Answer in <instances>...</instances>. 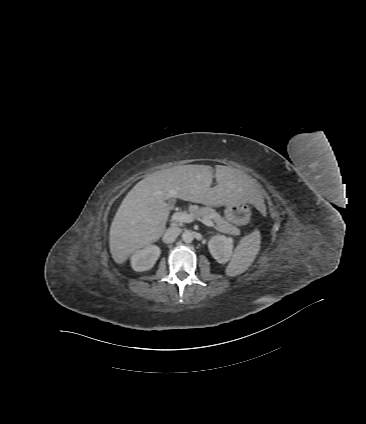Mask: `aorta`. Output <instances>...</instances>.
Instances as JSON below:
<instances>
[{"label":"aorta","mask_w":366,"mask_h":424,"mask_svg":"<svg viewBox=\"0 0 366 424\" xmlns=\"http://www.w3.org/2000/svg\"><path fill=\"white\" fill-rule=\"evenodd\" d=\"M194 239V235L191 231H185L182 235V240L185 243H191Z\"/></svg>","instance_id":"762f6f07"}]
</instances>
